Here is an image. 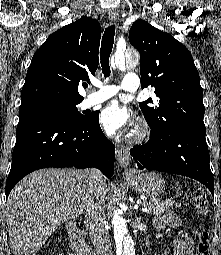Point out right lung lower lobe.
<instances>
[{
  "label": "right lung lower lobe",
  "mask_w": 221,
  "mask_h": 255,
  "mask_svg": "<svg viewBox=\"0 0 221 255\" xmlns=\"http://www.w3.org/2000/svg\"><path fill=\"white\" fill-rule=\"evenodd\" d=\"M114 159L115 146L103 134L99 114L78 124L54 114H20L6 197L24 176L47 167H96L111 178Z\"/></svg>",
  "instance_id": "right-lung-lower-lobe-1"
}]
</instances>
